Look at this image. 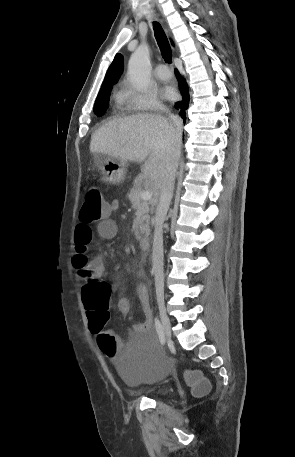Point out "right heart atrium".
Here are the masks:
<instances>
[{"label": "right heart atrium", "instance_id": "obj_1", "mask_svg": "<svg viewBox=\"0 0 295 457\" xmlns=\"http://www.w3.org/2000/svg\"><path fill=\"white\" fill-rule=\"evenodd\" d=\"M123 95L125 105L132 111H158L163 108L153 91L138 92L128 87Z\"/></svg>", "mask_w": 295, "mask_h": 457}]
</instances>
